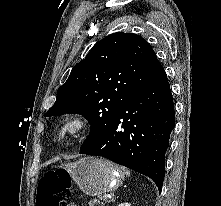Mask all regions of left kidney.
<instances>
[{
  "mask_svg": "<svg viewBox=\"0 0 221 206\" xmlns=\"http://www.w3.org/2000/svg\"><path fill=\"white\" fill-rule=\"evenodd\" d=\"M118 206H131V205H130V203H127V202H126V203H121V204H119Z\"/></svg>",
  "mask_w": 221,
  "mask_h": 206,
  "instance_id": "1",
  "label": "left kidney"
}]
</instances>
